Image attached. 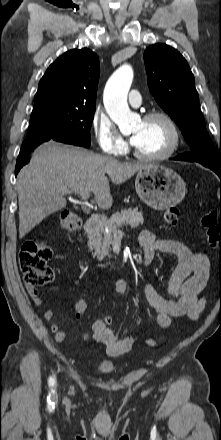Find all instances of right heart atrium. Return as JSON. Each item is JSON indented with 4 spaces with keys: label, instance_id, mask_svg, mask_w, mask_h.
<instances>
[{
    "label": "right heart atrium",
    "instance_id": "obj_1",
    "mask_svg": "<svg viewBox=\"0 0 221 440\" xmlns=\"http://www.w3.org/2000/svg\"><path fill=\"white\" fill-rule=\"evenodd\" d=\"M91 128L104 153L117 156L125 151L126 142L106 113L96 110L92 116Z\"/></svg>",
    "mask_w": 221,
    "mask_h": 440
}]
</instances>
